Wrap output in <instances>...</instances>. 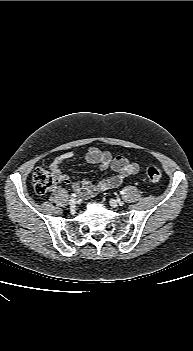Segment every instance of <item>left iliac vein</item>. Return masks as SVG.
<instances>
[{"mask_svg":"<svg viewBox=\"0 0 193 351\" xmlns=\"http://www.w3.org/2000/svg\"><path fill=\"white\" fill-rule=\"evenodd\" d=\"M110 203L112 205H119V206H122L124 204V202L121 200H113V199L110 200Z\"/></svg>","mask_w":193,"mask_h":351,"instance_id":"left-iliac-vein-1","label":"left iliac vein"}]
</instances>
